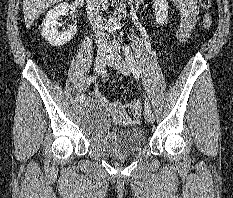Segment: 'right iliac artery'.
Returning a JSON list of instances; mask_svg holds the SVG:
<instances>
[{
    "mask_svg": "<svg viewBox=\"0 0 233 198\" xmlns=\"http://www.w3.org/2000/svg\"><path fill=\"white\" fill-rule=\"evenodd\" d=\"M96 78H97V76H94V75L88 77L87 80H86V84L90 85L91 83L94 82V80H96ZM79 100H80V103L84 102L85 101V94H82L80 96Z\"/></svg>",
    "mask_w": 233,
    "mask_h": 198,
    "instance_id": "82829eb1",
    "label": "right iliac artery"
}]
</instances>
